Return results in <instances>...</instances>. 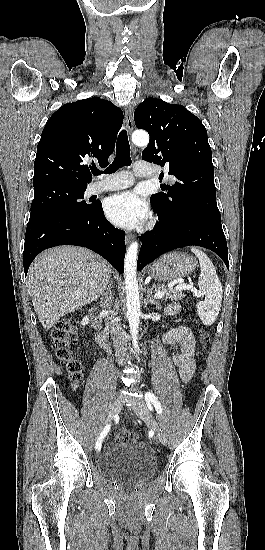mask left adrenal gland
Instances as JSON below:
<instances>
[{"instance_id":"a2214340","label":"left adrenal gland","mask_w":265,"mask_h":550,"mask_svg":"<svg viewBox=\"0 0 265 550\" xmlns=\"http://www.w3.org/2000/svg\"><path fill=\"white\" fill-rule=\"evenodd\" d=\"M152 293H153V289L152 288L148 289V291H147V304H153V305L156 306V309L160 310L161 309V304H160L159 301H157L153 297Z\"/></svg>"}]
</instances>
